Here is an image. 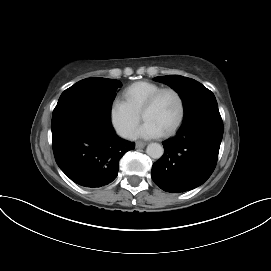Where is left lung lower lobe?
<instances>
[{
    "mask_svg": "<svg viewBox=\"0 0 271 271\" xmlns=\"http://www.w3.org/2000/svg\"><path fill=\"white\" fill-rule=\"evenodd\" d=\"M222 136L219 112L201 113L183 122L177 135L163 143L165 152L152 166L155 184L172 193L202 185L214 171Z\"/></svg>",
    "mask_w": 271,
    "mask_h": 271,
    "instance_id": "obj_1",
    "label": "left lung lower lobe"
}]
</instances>
